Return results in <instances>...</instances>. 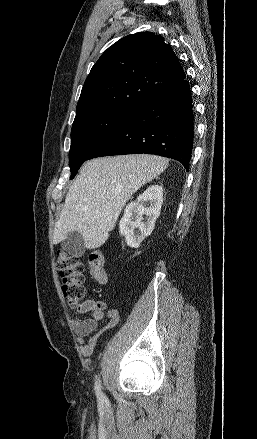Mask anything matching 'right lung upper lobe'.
<instances>
[{"label": "right lung upper lobe", "instance_id": "obj_1", "mask_svg": "<svg viewBox=\"0 0 257 439\" xmlns=\"http://www.w3.org/2000/svg\"><path fill=\"white\" fill-rule=\"evenodd\" d=\"M186 78L178 57L152 32L128 35L109 47L86 78L76 116L114 111L132 114Z\"/></svg>", "mask_w": 257, "mask_h": 439}]
</instances>
